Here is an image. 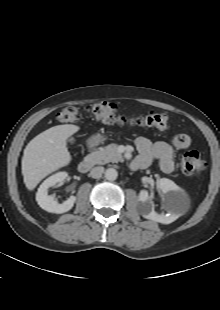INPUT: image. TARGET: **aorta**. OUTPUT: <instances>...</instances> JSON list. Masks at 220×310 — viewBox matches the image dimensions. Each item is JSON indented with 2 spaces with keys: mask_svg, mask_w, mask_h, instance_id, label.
I'll use <instances>...</instances> for the list:
<instances>
[{
  "mask_svg": "<svg viewBox=\"0 0 220 310\" xmlns=\"http://www.w3.org/2000/svg\"><path fill=\"white\" fill-rule=\"evenodd\" d=\"M118 172L114 168H108L105 172V178L109 181H114L117 179Z\"/></svg>",
  "mask_w": 220,
  "mask_h": 310,
  "instance_id": "762f6f07",
  "label": "aorta"
}]
</instances>
